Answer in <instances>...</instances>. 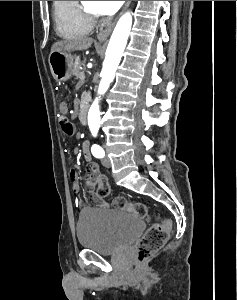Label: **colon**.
Listing matches in <instances>:
<instances>
[{
    "instance_id": "colon-1",
    "label": "colon",
    "mask_w": 237,
    "mask_h": 300,
    "mask_svg": "<svg viewBox=\"0 0 237 300\" xmlns=\"http://www.w3.org/2000/svg\"><path fill=\"white\" fill-rule=\"evenodd\" d=\"M59 126L63 134L72 136L74 125L66 114L59 117ZM94 184L96 185V196L99 198L107 197L110 194V186L107 179L97 176ZM116 209L130 212L135 216L145 219L148 215L147 207L142 202H131L124 197H117L113 201ZM171 231V222L167 218H158L145 232L138 244L136 258L139 262H144L152 258L167 242Z\"/></svg>"
}]
</instances>
